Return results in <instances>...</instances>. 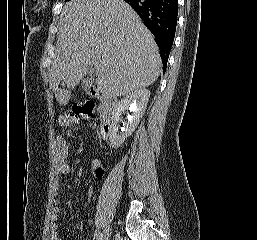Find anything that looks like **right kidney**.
<instances>
[{"label":"right kidney","mask_w":257,"mask_h":240,"mask_svg":"<svg viewBox=\"0 0 257 240\" xmlns=\"http://www.w3.org/2000/svg\"><path fill=\"white\" fill-rule=\"evenodd\" d=\"M149 97L150 91L148 89H137L129 93L115 106L108 132L109 142L113 148L120 147L136 129L145 112ZM128 110L132 112V115H128V120L120 130L118 122L121 120L122 113Z\"/></svg>","instance_id":"ca27d5eb"}]
</instances>
